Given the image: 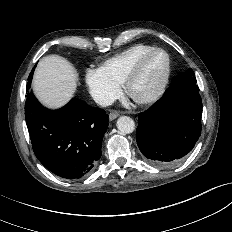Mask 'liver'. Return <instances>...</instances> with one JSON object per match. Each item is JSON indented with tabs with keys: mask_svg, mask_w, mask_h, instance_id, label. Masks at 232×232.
I'll return each mask as SVG.
<instances>
[{
	"mask_svg": "<svg viewBox=\"0 0 232 232\" xmlns=\"http://www.w3.org/2000/svg\"><path fill=\"white\" fill-rule=\"evenodd\" d=\"M32 87L45 106L59 108L73 96L77 87V73L65 58L49 55L38 63Z\"/></svg>",
	"mask_w": 232,
	"mask_h": 232,
	"instance_id": "1",
	"label": "liver"
}]
</instances>
